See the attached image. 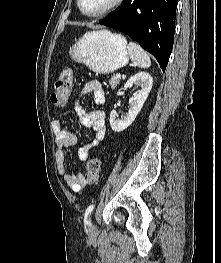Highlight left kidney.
Wrapping results in <instances>:
<instances>
[{"label":"left kidney","mask_w":221,"mask_h":263,"mask_svg":"<svg viewBox=\"0 0 221 263\" xmlns=\"http://www.w3.org/2000/svg\"><path fill=\"white\" fill-rule=\"evenodd\" d=\"M133 84L140 87V90L132 98L129 99L130 109L126 116L121 119L118 118L115 110L110 114V125L113 131L121 132L125 130L137 117L144 102L146 101L148 94L152 88L153 79L149 73L139 72L132 76L124 85V89L130 88Z\"/></svg>","instance_id":"obj_1"}]
</instances>
